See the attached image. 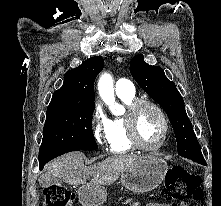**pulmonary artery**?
<instances>
[{
    "mask_svg": "<svg viewBox=\"0 0 221 206\" xmlns=\"http://www.w3.org/2000/svg\"><path fill=\"white\" fill-rule=\"evenodd\" d=\"M116 93L130 95L135 93V89L131 81L120 79L116 83Z\"/></svg>",
    "mask_w": 221,
    "mask_h": 206,
    "instance_id": "e3ab8cb5",
    "label": "pulmonary artery"
}]
</instances>
